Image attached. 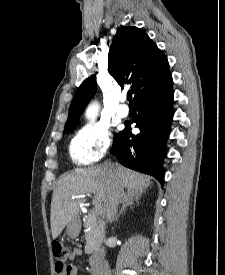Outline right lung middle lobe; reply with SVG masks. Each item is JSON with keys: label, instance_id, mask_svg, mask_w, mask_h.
<instances>
[{"label": "right lung middle lobe", "instance_id": "dd1d6c3e", "mask_svg": "<svg viewBox=\"0 0 225 275\" xmlns=\"http://www.w3.org/2000/svg\"><path fill=\"white\" fill-rule=\"evenodd\" d=\"M76 125H77V123L73 124V125L66 126L65 129L68 130V131H71L76 127Z\"/></svg>", "mask_w": 225, "mask_h": 275}]
</instances>
